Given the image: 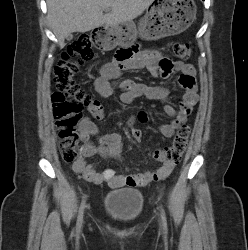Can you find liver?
I'll return each mask as SVG.
<instances>
[{
  "mask_svg": "<svg viewBox=\"0 0 248 250\" xmlns=\"http://www.w3.org/2000/svg\"><path fill=\"white\" fill-rule=\"evenodd\" d=\"M154 0H47L48 20L62 49L67 35L115 26L141 15ZM111 12L103 15V11Z\"/></svg>",
  "mask_w": 248,
  "mask_h": 250,
  "instance_id": "obj_1",
  "label": "liver"
}]
</instances>
